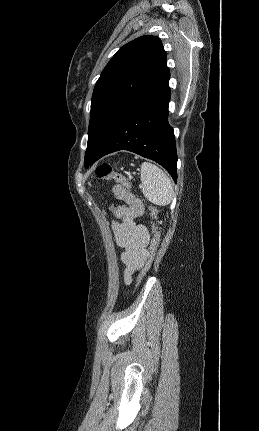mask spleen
Returning <instances> with one entry per match:
<instances>
[{
	"mask_svg": "<svg viewBox=\"0 0 259 431\" xmlns=\"http://www.w3.org/2000/svg\"><path fill=\"white\" fill-rule=\"evenodd\" d=\"M142 193L159 206L168 205L173 198V186L166 173L150 162L141 165Z\"/></svg>",
	"mask_w": 259,
	"mask_h": 431,
	"instance_id": "1",
	"label": "spleen"
}]
</instances>
